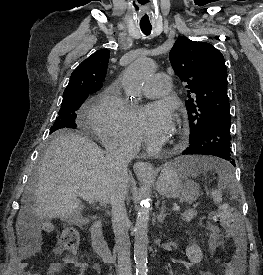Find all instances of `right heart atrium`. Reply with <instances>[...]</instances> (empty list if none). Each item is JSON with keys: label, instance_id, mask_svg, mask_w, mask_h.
Returning a JSON list of instances; mask_svg holds the SVG:
<instances>
[{"label": "right heart atrium", "instance_id": "1", "mask_svg": "<svg viewBox=\"0 0 263 275\" xmlns=\"http://www.w3.org/2000/svg\"><path fill=\"white\" fill-rule=\"evenodd\" d=\"M88 121L90 130L107 147L135 150L139 145L131 113L114 89L98 96L89 109Z\"/></svg>", "mask_w": 263, "mask_h": 275}]
</instances>
